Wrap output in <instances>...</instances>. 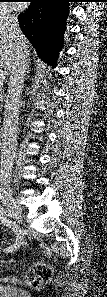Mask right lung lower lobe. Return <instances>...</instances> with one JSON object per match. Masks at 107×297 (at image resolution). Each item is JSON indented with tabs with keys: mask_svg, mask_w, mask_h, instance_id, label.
Instances as JSON below:
<instances>
[{
	"mask_svg": "<svg viewBox=\"0 0 107 297\" xmlns=\"http://www.w3.org/2000/svg\"><path fill=\"white\" fill-rule=\"evenodd\" d=\"M71 0H31L25 13L19 15L22 32L38 55L55 64L63 44V33Z\"/></svg>",
	"mask_w": 107,
	"mask_h": 297,
	"instance_id": "right-lung-lower-lobe-1",
	"label": "right lung lower lobe"
}]
</instances>
